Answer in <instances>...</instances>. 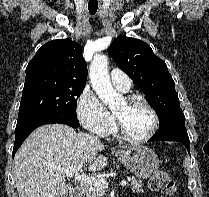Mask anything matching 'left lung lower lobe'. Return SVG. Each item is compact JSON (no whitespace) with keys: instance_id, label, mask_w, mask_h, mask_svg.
I'll return each mask as SVG.
<instances>
[{"instance_id":"left-lung-lower-lobe-1","label":"left lung lower lobe","mask_w":209,"mask_h":197,"mask_svg":"<svg viewBox=\"0 0 209 197\" xmlns=\"http://www.w3.org/2000/svg\"><path fill=\"white\" fill-rule=\"evenodd\" d=\"M159 140L181 142L185 145L188 152L190 153V141L187 130L185 128V120L172 121L160 127L159 130L149 140V142Z\"/></svg>"}]
</instances>
